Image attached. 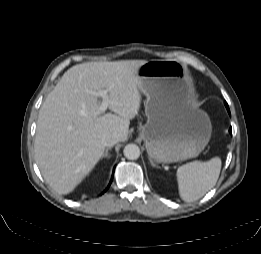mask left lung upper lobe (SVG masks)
Here are the masks:
<instances>
[{
  "instance_id": "left-lung-upper-lobe-1",
  "label": "left lung upper lobe",
  "mask_w": 261,
  "mask_h": 254,
  "mask_svg": "<svg viewBox=\"0 0 261 254\" xmlns=\"http://www.w3.org/2000/svg\"><path fill=\"white\" fill-rule=\"evenodd\" d=\"M225 106H226V108H227V110L229 112V107H228V104L226 102H225Z\"/></svg>"
}]
</instances>
